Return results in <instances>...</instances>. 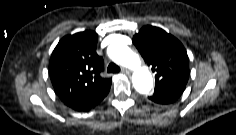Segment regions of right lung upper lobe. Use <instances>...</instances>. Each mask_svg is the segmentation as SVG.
Returning a JSON list of instances; mask_svg holds the SVG:
<instances>
[{
    "instance_id": "right-lung-upper-lobe-1",
    "label": "right lung upper lobe",
    "mask_w": 236,
    "mask_h": 135,
    "mask_svg": "<svg viewBox=\"0 0 236 135\" xmlns=\"http://www.w3.org/2000/svg\"><path fill=\"white\" fill-rule=\"evenodd\" d=\"M98 35L94 31L63 37L49 62L50 78L55 93L62 101L93 96L112 81L103 78V58L96 53Z\"/></svg>"
}]
</instances>
